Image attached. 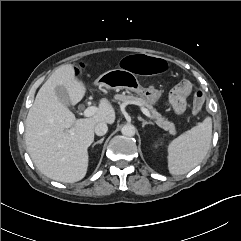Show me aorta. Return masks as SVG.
<instances>
[{
	"label": "aorta",
	"instance_id": "762f6f07",
	"mask_svg": "<svg viewBox=\"0 0 241 241\" xmlns=\"http://www.w3.org/2000/svg\"><path fill=\"white\" fill-rule=\"evenodd\" d=\"M135 132H136L135 127L132 124H126L121 129V133L127 137L134 136Z\"/></svg>",
	"mask_w": 241,
	"mask_h": 241
}]
</instances>
